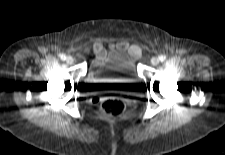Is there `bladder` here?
<instances>
[{"mask_svg": "<svg viewBox=\"0 0 225 155\" xmlns=\"http://www.w3.org/2000/svg\"><path fill=\"white\" fill-rule=\"evenodd\" d=\"M90 77L116 84L130 94L138 93L141 88L135 61L123 50H112L98 57L91 66Z\"/></svg>", "mask_w": 225, "mask_h": 155, "instance_id": "1", "label": "bladder"}]
</instances>
